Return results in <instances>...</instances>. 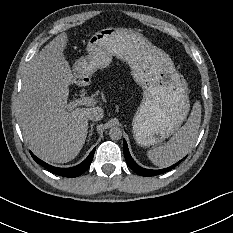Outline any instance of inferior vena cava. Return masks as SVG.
<instances>
[{
	"label": "inferior vena cava",
	"mask_w": 233,
	"mask_h": 233,
	"mask_svg": "<svg viewBox=\"0 0 233 233\" xmlns=\"http://www.w3.org/2000/svg\"><path fill=\"white\" fill-rule=\"evenodd\" d=\"M103 117L104 113L101 108H94L88 116V118L92 121L101 120Z\"/></svg>",
	"instance_id": "1"
}]
</instances>
